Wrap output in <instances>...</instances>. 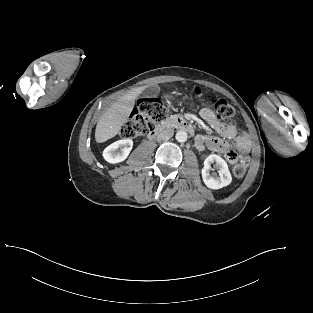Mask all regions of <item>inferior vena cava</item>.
Returning <instances> with one entry per match:
<instances>
[{
	"instance_id": "1",
	"label": "inferior vena cava",
	"mask_w": 313,
	"mask_h": 313,
	"mask_svg": "<svg viewBox=\"0 0 313 313\" xmlns=\"http://www.w3.org/2000/svg\"><path fill=\"white\" fill-rule=\"evenodd\" d=\"M173 133L174 132L172 129H165L157 136V140L158 141L168 140L173 136Z\"/></svg>"
}]
</instances>
